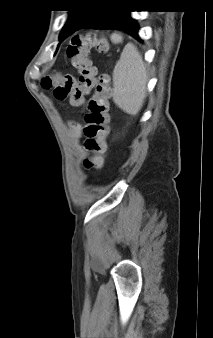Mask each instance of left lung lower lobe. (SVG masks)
<instances>
[{"label":"left lung lower lobe","mask_w":213,"mask_h":338,"mask_svg":"<svg viewBox=\"0 0 213 338\" xmlns=\"http://www.w3.org/2000/svg\"><path fill=\"white\" fill-rule=\"evenodd\" d=\"M130 10L116 9H87L69 27L66 36L83 28L119 29L141 41L139 27L130 16Z\"/></svg>","instance_id":"left-lung-lower-lobe-1"}]
</instances>
